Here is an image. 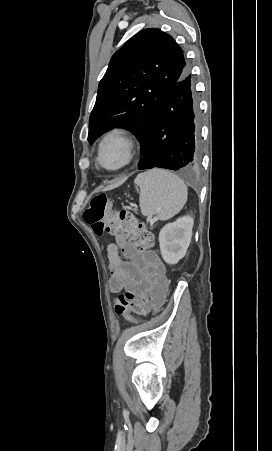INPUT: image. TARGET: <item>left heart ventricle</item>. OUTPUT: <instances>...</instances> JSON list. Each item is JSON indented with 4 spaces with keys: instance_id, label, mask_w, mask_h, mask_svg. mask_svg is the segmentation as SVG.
Instances as JSON below:
<instances>
[{
    "instance_id": "left-heart-ventricle-1",
    "label": "left heart ventricle",
    "mask_w": 272,
    "mask_h": 451,
    "mask_svg": "<svg viewBox=\"0 0 272 451\" xmlns=\"http://www.w3.org/2000/svg\"><path fill=\"white\" fill-rule=\"evenodd\" d=\"M124 160L125 153L123 149L116 144L106 146L101 154V163L108 169H116L120 167Z\"/></svg>"
}]
</instances>
